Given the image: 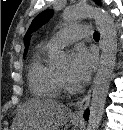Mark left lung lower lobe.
Masks as SVG:
<instances>
[{
  "mask_svg": "<svg viewBox=\"0 0 123 130\" xmlns=\"http://www.w3.org/2000/svg\"><path fill=\"white\" fill-rule=\"evenodd\" d=\"M88 116H89V111L86 110L85 113H84V117H85L86 120H88Z\"/></svg>",
  "mask_w": 123,
  "mask_h": 130,
  "instance_id": "1",
  "label": "left lung lower lobe"
}]
</instances>
